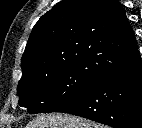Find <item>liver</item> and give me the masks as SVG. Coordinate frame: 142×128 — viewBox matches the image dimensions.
I'll use <instances>...</instances> for the list:
<instances>
[{
  "instance_id": "1",
  "label": "liver",
  "mask_w": 142,
  "mask_h": 128,
  "mask_svg": "<svg viewBox=\"0 0 142 128\" xmlns=\"http://www.w3.org/2000/svg\"><path fill=\"white\" fill-rule=\"evenodd\" d=\"M25 128H105L97 123L68 114L52 113L39 115Z\"/></svg>"
}]
</instances>
